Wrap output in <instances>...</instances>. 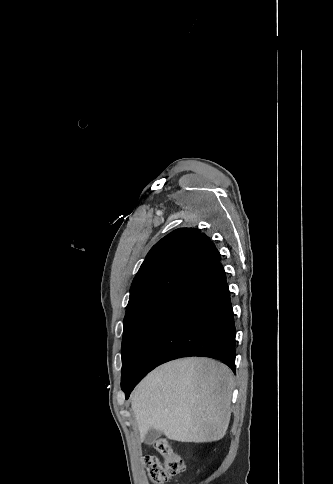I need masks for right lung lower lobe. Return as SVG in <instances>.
Segmentation results:
<instances>
[{
	"instance_id": "1",
	"label": "right lung lower lobe",
	"mask_w": 333,
	"mask_h": 484,
	"mask_svg": "<svg viewBox=\"0 0 333 484\" xmlns=\"http://www.w3.org/2000/svg\"><path fill=\"white\" fill-rule=\"evenodd\" d=\"M235 335L226 274L218 261L170 293L155 311L139 342L131 375L122 388L126 399L147 373L179 357L218 359L235 372Z\"/></svg>"
}]
</instances>
